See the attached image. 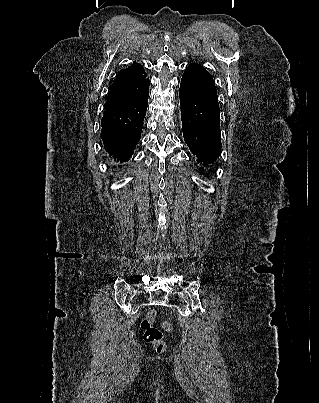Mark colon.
<instances>
[{
	"instance_id": "1",
	"label": "colon",
	"mask_w": 319,
	"mask_h": 403,
	"mask_svg": "<svg viewBox=\"0 0 319 403\" xmlns=\"http://www.w3.org/2000/svg\"><path fill=\"white\" fill-rule=\"evenodd\" d=\"M156 315L155 310L149 311L143 318L141 327L144 341L151 344L158 353H162L165 351L166 345L163 341L162 332L154 326Z\"/></svg>"
}]
</instances>
